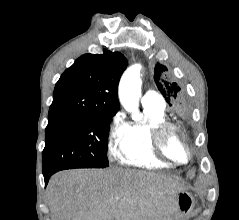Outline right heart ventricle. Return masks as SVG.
<instances>
[{
  "label": "right heart ventricle",
  "instance_id": "e07e8e85",
  "mask_svg": "<svg viewBox=\"0 0 239 220\" xmlns=\"http://www.w3.org/2000/svg\"><path fill=\"white\" fill-rule=\"evenodd\" d=\"M144 120L129 125V132L120 144L116 158L125 166L154 169L166 168L171 164L159 158L152 147V131L166 123L165 110L153 106H143Z\"/></svg>",
  "mask_w": 239,
  "mask_h": 220
}]
</instances>
